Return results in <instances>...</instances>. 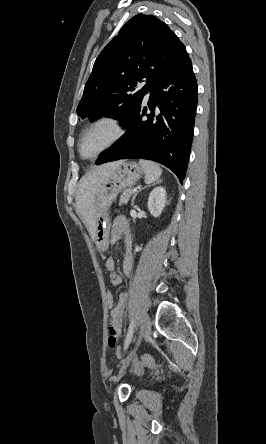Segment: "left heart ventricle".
Returning a JSON list of instances; mask_svg holds the SVG:
<instances>
[{"label":"left heart ventricle","mask_w":266,"mask_h":444,"mask_svg":"<svg viewBox=\"0 0 266 444\" xmlns=\"http://www.w3.org/2000/svg\"><path fill=\"white\" fill-rule=\"evenodd\" d=\"M112 136V130L107 125H101L86 134L83 139V153L92 156L103 148Z\"/></svg>","instance_id":"1"}]
</instances>
